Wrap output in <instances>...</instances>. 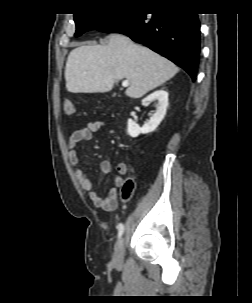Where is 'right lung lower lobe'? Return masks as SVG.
I'll list each match as a JSON object with an SVG mask.
<instances>
[{
  "instance_id": "1",
  "label": "right lung lower lobe",
  "mask_w": 252,
  "mask_h": 303,
  "mask_svg": "<svg viewBox=\"0 0 252 303\" xmlns=\"http://www.w3.org/2000/svg\"><path fill=\"white\" fill-rule=\"evenodd\" d=\"M98 31L125 34L183 68L193 81L196 79L201 42L197 14L173 8L153 14L135 10Z\"/></svg>"
}]
</instances>
